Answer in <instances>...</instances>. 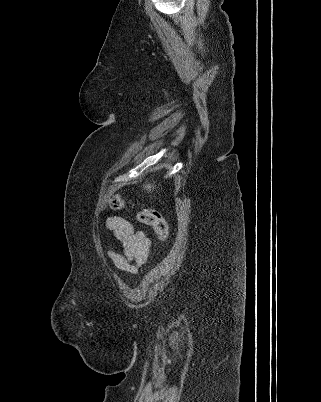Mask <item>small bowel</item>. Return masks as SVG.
Here are the masks:
<instances>
[{
	"mask_svg": "<svg viewBox=\"0 0 321 402\" xmlns=\"http://www.w3.org/2000/svg\"><path fill=\"white\" fill-rule=\"evenodd\" d=\"M106 225L121 243L123 249L122 254L108 252L115 268L122 272L136 274L147 261L151 245L150 239L143 231H136L133 225L121 216H110Z\"/></svg>",
	"mask_w": 321,
	"mask_h": 402,
	"instance_id": "1",
	"label": "small bowel"
}]
</instances>
